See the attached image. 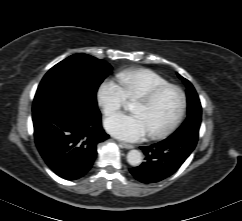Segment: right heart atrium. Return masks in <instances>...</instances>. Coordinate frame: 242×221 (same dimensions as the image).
<instances>
[{"instance_id":"obj_1","label":"right heart atrium","mask_w":242,"mask_h":221,"mask_svg":"<svg viewBox=\"0 0 242 221\" xmlns=\"http://www.w3.org/2000/svg\"><path fill=\"white\" fill-rule=\"evenodd\" d=\"M96 100L102 112L109 116L119 111L126 104L127 97L118 83L106 79L97 88Z\"/></svg>"}]
</instances>
